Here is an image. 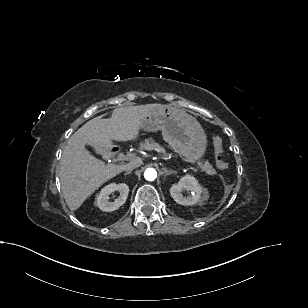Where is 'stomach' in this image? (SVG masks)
Segmentation results:
<instances>
[{"label":"stomach","mask_w":308,"mask_h":308,"mask_svg":"<svg viewBox=\"0 0 308 308\" xmlns=\"http://www.w3.org/2000/svg\"><path fill=\"white\" fill-rule=\"evenodd\" d=\"M144 131L161 130L163 138L186 162H196L205 154L206 134L199 122L184 110L163 105L141 120Z\"/></svg>","instance_id":"obj_1"}]
</instances>
